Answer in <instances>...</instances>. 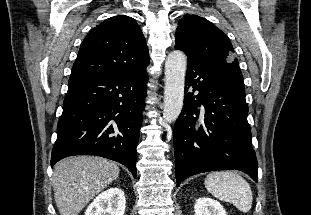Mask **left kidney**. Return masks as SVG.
I'll use <instances>...</instances> for the list:
<instances>
[{
    "instance_id": "obj_1",
    "label": "left kidney",
    "mask_w": 311,
    "mask_h": 215,
    "mask_svg": "<svg viewBox=\"0 0 311 215\" xmlns=\"http://www.w3.org/2000/svg\"><path fill=\"white\" fill-rule=\"evenodd\" d=\"M195 215H226L223 206L211 198H199L194 205Z\"/></svg>"
}]
</instances>
